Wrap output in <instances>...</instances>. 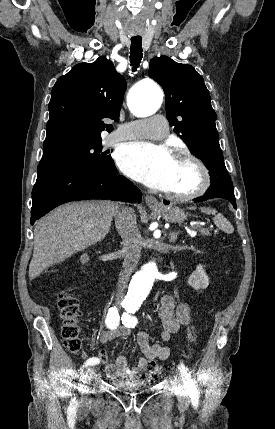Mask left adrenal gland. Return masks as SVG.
I'll return each instance as SVG.
<instances>
[{
  "label": "left adrenal gland",
  "instance_id": "1",
  "mask_svg": "<svg viewBox=\"0 0 275 429\" xmlns=\"http://www.w3.org/2000/svg\"><path fill=\"white\" fill-rule=\"evenodd\" d=\"M179 232H172L169 234V241L175 243L177 240Z\"/></svg>",
  "mask_w": 275,
  "mask_h": 429
}]
</instances>
